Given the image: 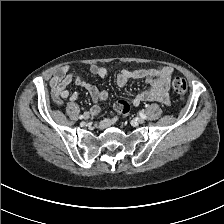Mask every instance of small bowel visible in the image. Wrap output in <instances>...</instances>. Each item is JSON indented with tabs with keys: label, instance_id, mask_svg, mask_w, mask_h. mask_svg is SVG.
I'll use <instances>...</instances> for the list:
<instances>
[{
	"label": "small bowel",
	"instance_id": "obj_1",
	"mask_svg": "<svg viewBox=\"0 0 224 224\" xmlns=\"http://www.w3.org/2000/svg\"><path fill=\"white\" fill-rule=\"evenodd\" d=\"M90 72L99 77H105L107 70L105 67L92 64L89 66ZM173 75V69L168 66H159L150 69H123L117 76V84L124 86L131 79H145L149 87L143 89L130 100L132 107L139 106L142 102L158 101L164 105H170L169 96L170 81ZM74 82L78 87L85 89L91 96L95 105L91 109V114L96 115L99 112L100 101L108 98V92L100 89L94 84L87 81L83 76L70 72L69 66H63L55 71L50 80L52 98L57 104H61L63 99L70 98L72 101L77 100L76 92L70 93L68 85ZM115 122V118L104 120L100 123L101 128L108 127Z\"/></svg>",
	"mask_w": 224,
	"mask_h": 224
}]
</instances>
